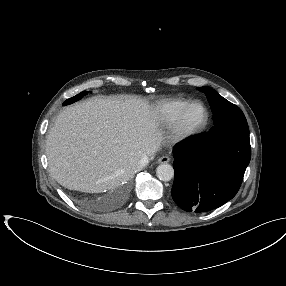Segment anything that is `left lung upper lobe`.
<instances>
[{"instance_id": "5c2ea615", "label": "left lung upper lobe", "mask_w": 286, "mask_h": 286, "mask_svg": "<svg viewBox=\"0 0 286 286\" xmlns=\"http://www.w3.org/2000/svg\"><path fill=\"white\" fill-rule=\"evenodd\" d=\"M198 90L207 96L214 115V125L225 122H247L241 109L220 96L214 89L205 86L198 88Z\"/></svg>"}]
</instances>
